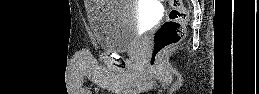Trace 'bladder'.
<instances>
[{
  "mask_svg": "<svg viewBox=\"0 0 259 94\" xmlns=\"http://www.w3.org/2000/svg\"><path fill=\"white\" fill-rule=\"evenodd\" d=\"M87 17L97 45L110 52L133 48L143 25L141 11L133 0L89 1Z\"/></svg>",
  "mask_w": 259,
  "mask_h": 94,
  "instance_id": "31cf9c89",
  "label": "bladder"
}]
</instances>
